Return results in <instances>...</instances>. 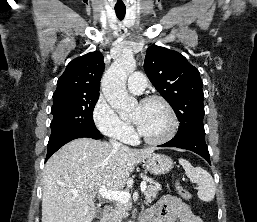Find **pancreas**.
Segmentation results:
<instances>
[{"instance_id": "pancreas-1", "label": "pancreas", "mask_w": 257, "mask_h": 222, "mask_svg": "<svg viewBox=\"0 0 257 222\" xmlns=\"http://www.w3.org/2000/svg\"><path fill=\"white\" fill-rule=\"evenodd\" d=\"M159 190L160 189L158 186H153L150 184L144 193L146 202L151 203L156 198ZM130 210L131 204L117 202L115 204V208L110 214L109 222H121L122 219L126 218L129 215L128 211Z\"/></svg>"}]
</instances>
